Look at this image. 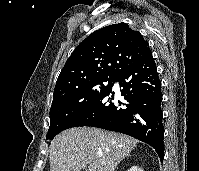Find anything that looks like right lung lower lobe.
<instances>
[{
    "instance_id": "obj_1",
    "label": "right lung lower lobe",
    "mask_w": 199,
    "mask_h": 171,
    "mask_svg": "<svg viewBox=\"0 0 199 171\" xmlns=\"http://www.w3.org/2000/svg\"><path fill=\"white\" fill-rule=\"evenodd\" d=\"M115 82L122 87V101L114 99L112 88ZM161 102V81L151 56L121 72L112 86L77 114L65 129L91 126L124 133L151 145L162 161Z\"/></svg>"
}]
</instances>
